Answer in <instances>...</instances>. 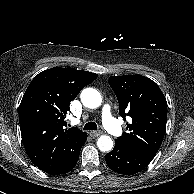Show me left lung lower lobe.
Returning a JSON list of instances; mask_svg holds the SVG:
<instances>
[{
    "mask_svg": "<svg viewBox=\"0 0 194 194\" xmlns=\"http://www.w3.org/2000/svg\"><path fill=\"white\" fill-rule=\"evenodd\" d=\"M153 158L117 141L114 149L105 155L108 167L123 175H133L142 171Z\"/></svg>",
    "mask_w": 194,
    "mask_h": 194,
    "instance_id": "left-lung-lower-lobe-1",
    "label": "left lung lower lobe"
}]
</instances>
